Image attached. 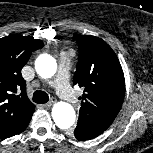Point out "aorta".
<instances>
[{"label":"aorta","instance_id":"762f6f07","mask_svg":"<svg viewBox=\"0 0 153 153\" xmlns=\"http://www.w3.org/2000/svg\"><path fill=\"white\" fill-rule=\"evenodd\" d=\"M35 69L42 78H51L56 73L57 64L52 56L42 54L35 61ZM52 117L60 129H68L74 124L76 115L70 104L58 102L52 108Z\"/></svg>","mask_w":153,"mask_h":153}]
</instances>
